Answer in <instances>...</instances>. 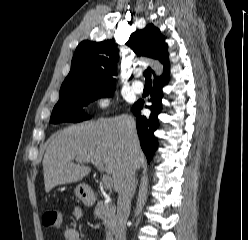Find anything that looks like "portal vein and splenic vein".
Here are the masks:
<instances>
[{
    "instance_id": "portal-vein-and-splenic-vein-1",
    "label": "portal vein and splenic vein",
    "mask_w": 248,
    "mask_h": 240,
    "mask_svg": "<svg viewBox=\"0 0 248 240\" xmlns=\"http://www.w3.org/2000/svg\"><path fill=\"white\" fill-rule=\"evenodd\" d=\"M86 162H92L99 170L103 171L104 169V166L101 162L99 161H94V160H91V159H86L85 160ZM102 181H103V184H104V187L107 188V189H110L111 186H112V177L109 176V175H103V178H102Z\"/></svg>"
}]
</instances>
